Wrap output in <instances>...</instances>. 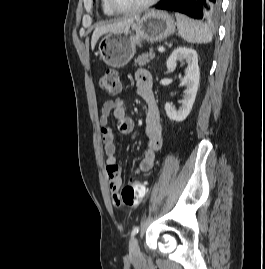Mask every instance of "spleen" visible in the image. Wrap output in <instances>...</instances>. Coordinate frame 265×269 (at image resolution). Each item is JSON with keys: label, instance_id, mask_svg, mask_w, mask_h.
<instances>
[{"label": "spleen", "instance_id": "obj_1", "mask_svg": "<svg viewBox=\"0 0 265 269\" xmlns=\"http://www.w3.org/2000/svg\"><path fill=\"white\" fill-rule=\"evenodd\" d=\"M177 28L181 37L188 43H209L212 32L206 24L193 20L181 13H175Z\"/></svg>", "mask_w": 265, "mask_h": 269}]
</instances>
